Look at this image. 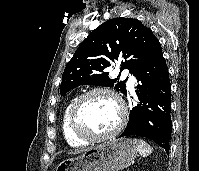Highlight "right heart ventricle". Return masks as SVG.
<instances>
[{
    "label": "right heart ventricle",
    "mask_w": 199,
    "mask_h": 171,
    "mask_svg": "<svg viewBox=\"0 0 199 171\" xmlns=\"http://www.w3.org/2000/svg\"><path fill=\"white\" fill-rule=\"evenodd\" d=\"M74 100H71L67 103L64 108L62 117H61V130L65 141L73 147H78L86 144V140L81 139L73 134L70 126L69 114L70 109Z\"/></svg>",
    "instance_id": "obj_1"
}]
</instances>
